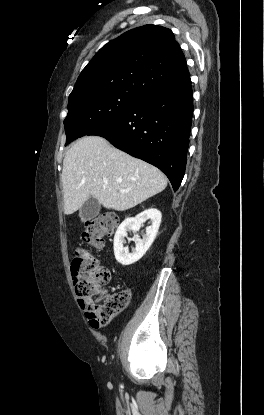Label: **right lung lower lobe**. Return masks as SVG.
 <instances>
[{
	"label": "right lung lower lobe",
	"mask_w": 264,
	"mask_h": 415,
	"mask_svg": "<svg viewBox=\"0 0 264 415\" xmlns=\"http://www.w3.org/2000/svg\"><path fill=\"white\" fill-rule=\"evenodd\" d=\"M192 116L189 76L146 94L87 135L104 137L116 148L158 167L177 190L185 173Z\"/></svg>",
	"instance_id": "1"
}]
</instances>
